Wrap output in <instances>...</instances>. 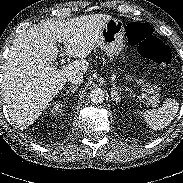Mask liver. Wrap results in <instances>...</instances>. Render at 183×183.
<instances>
[{
	"label": "liver",
	"mask_w": 183,
	"mask_h": 183,
	"mask_svg": "<svg viewBox=\"0 0 183 183\" xmlns=\"http://www.w3.org/2000/svg\"><path fill=\"white\" fill-rule=\"evenodd\" d=\"M110 15L91 14L63 21L48 20L34 24L13 41L3 68L1 85L8 113L21 128L30 126L63 88L74 73L84 74L89 67L85 58L91 53ZM57 42L65 54L78 58L52 69L59 55Z\"/></svg>",
	"instance_id": "6515ba94"
}]
</instances>
